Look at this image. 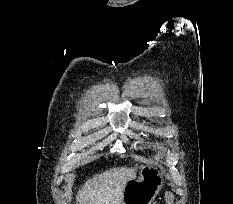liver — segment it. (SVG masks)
Masks as SVG:
<instances>
[{
  "label": "liver",
  "mask_w": 233,
  "mask_h": 204,
  "mask_svg": "<svg viewBox=\"0 0 233 204\" xmlns=\"http://www.w3.org/2000/svg\"><path fill=\"white\" fill-rule=\"evenodd\" d=\"M137 168L114 167L88 179L77 193L75 204H121L125 185L135 178Z\"/></svg>",
  "instance_id": "obj_1"
}]
</instances>
